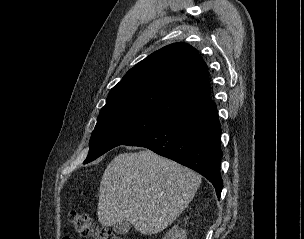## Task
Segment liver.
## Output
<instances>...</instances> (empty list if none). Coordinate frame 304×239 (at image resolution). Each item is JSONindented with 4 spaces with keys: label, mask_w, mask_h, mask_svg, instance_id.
<instances>
[{
    "label": "liver",
    "mask_w": 304,
    "mask_h": 239,
    "mask_svg": "<svg viewBox=\"0 0 304 239\" xmlns=\"http://www.w3.org/2000/svg\"><path fill=\"white\" fill-rule=\"evenodd\" d=\"M200 184L199 174L151 150L121 153L101 178L99 222L127 221L141 234H157L182 213Z\"/></svg>",
    "instance_id": "obj_1"
}]
</instances>
